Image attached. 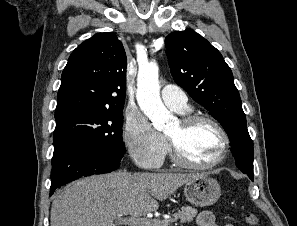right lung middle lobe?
Returning a JSON list of instances; mask_svg holds the SVG:
<instances>
[{
    "mask_svg": "<svg viewBox=\"0 0 297 226\" xmlns=\"http://www.w3.org/2000/svg\"><path fill=\"white\" fill-rule=\"evenodd\" d=\"M122 126V111L75 113L56 120L53 141L89 142L125 153Z\"/></svg>",
    "mask_w": 297,
    "mask_h": 226,
    "instance_id": "dd1d6c3e",
    "label": "right lung middle lobe"
}]
</instances>
